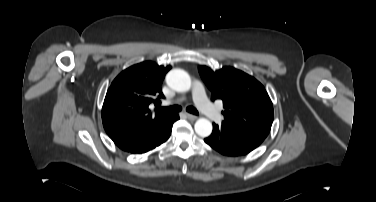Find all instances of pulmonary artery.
Segmentation results:
<instances>
[{"instance_id": "pulmonary-artery-1", "label": "pulmonary artery", "mask_w": 376, "mask_h": 202, "mask_svg": "<svg viewBox=\"0 0 376 202\" xmlns=\"http://www.w3.org/2000/svg\"><path fill=\"white\" fill-rule=\"evenodd\" d=\"M193 99L197 107L212 121L218 122L222 119V115L206 97L204 87L198 80L193 82ZM184 98H179L175 102H182Z\"/></svg>"}]
</instances>
